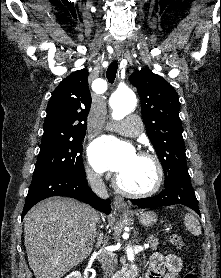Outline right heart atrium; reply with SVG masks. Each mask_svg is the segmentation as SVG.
I'll list each match as a JSON object with an SVG mask.
<instances>
[{
  "mask_svg": "<svg viewBox=\"0 0 221 278\" xmlns=\"http://www.w3.org/2000/svg\"><path fill=\"white\" fill-rule=\"evenodd\" d=\"M85 173L88 180L92 182L97 181L99 179V176L95 172H93L89 167H86Z\"/></svg>",
  "mask_w": 221,
  "mask_h": 278,
  "instance_id": "right-heart-atrium-1",
  "label": "right heart atrium"
}]
</instances>
